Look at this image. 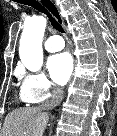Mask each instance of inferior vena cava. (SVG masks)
<instances>
[{
	"mask_svg": "<svg viewBox=\"0 0 117 136\" xmlns=\"http://www.w3.org/2000/svg\"><path fill=\"white\" fill-rule=\"evenodd\" d=\"M63 93L64 92L62 87L55 86L52 90L51 97L48 100H46L45 103L41 105V109L47 111V110L55 108L62 101Z\"/></svg>",
	"mask_w": 117,
	"mask_h": 136,
	"instance_id": "obj_1",
	"label": "inferior vena cava"
}]
</instances>
